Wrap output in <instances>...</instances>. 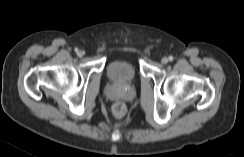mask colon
<instances>
[{
    "mask_svg": "<svg viewBox=\"0 0 244 157\" xmlns=\"http://www.w3.org/2000/svg\"><path fill=\"white\" fill-rule=\"evenodd\" d=\"M112 111L115 117L122 118L126 113V106L123 102L118 101L114 103Z\"/></svg>",
    "mask_w": 244,
    "mask_h": 157,
    "instance_id": "5ec220e1",
    "label": "colon"
}]
</instances>
